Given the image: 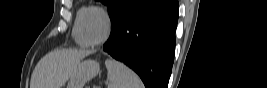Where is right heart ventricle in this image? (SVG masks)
<instances>
[{"instance_id": "right-heart-ventricle-1", "label": "right heart ventricle", "mask_w": 267, "mask_h": 88, "mask_svg": "<svg viewBox=\"0 0 267 88\" xmlns=\"http://www.w3.org/2000/svg\"><path fill=\"white\" fill-rule=\"evenodd\" d=\"M90 8H92V7L85 6V5L79 6L77 8L76 15L74 18V23H73V27H72V36H73L74 41L80 46H86V44L84 43V41L82 40L81 35H80L81 18H82V15L84 14V12Z\"/></svg>"}]
</instances>
